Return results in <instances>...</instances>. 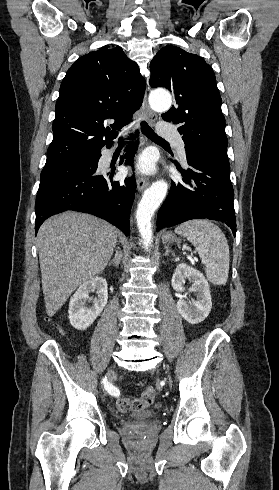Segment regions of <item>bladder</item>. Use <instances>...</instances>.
I'll return each mask as SVG.
<instances>
[{
	"instance_id": "1",
	"label": "bladder",
	"mask_w": 279,
	"mask_h": 490,
	"mask_svg": "<svg viewBox=\"0 0 279 490\" xmlns=\"http://www.w3.org/2000/svg\"><path fill=\"white\" fill-rule=\"evenodd\" d=\"M159 411L153 408H148L144 411H136L127 416V421L129 422H147L151 417H158Z\"/></svg>"
}]
</instances>
